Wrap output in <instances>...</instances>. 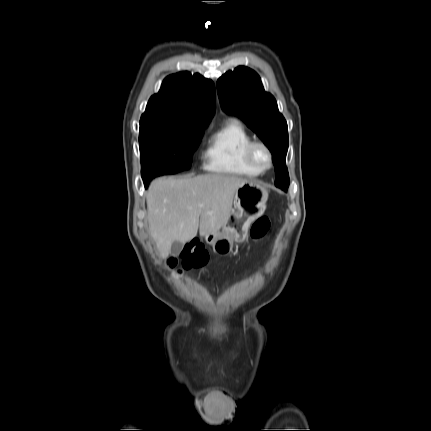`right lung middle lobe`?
<instances>
[{
    "label": "right lung middle lobe",
    "instance_id": "dd1d6c3e",
    "mask_svg": "<svg viewBox=\"0 0 431 431\" xmlns=\"http://www.w3.org/2000/svg\"><path fill=\"white\" fill-rule=\"evenodd\" d=\"M206 127L156 120L140 121L142 178L189 169L193 152Z\"/></svg>",
    "mask_w": 431,
    "mask_h": 431
}]
</instances>
